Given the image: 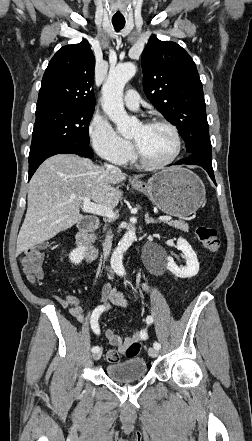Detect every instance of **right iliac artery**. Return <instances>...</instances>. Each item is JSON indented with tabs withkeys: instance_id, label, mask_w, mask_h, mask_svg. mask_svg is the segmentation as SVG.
Masks as SVG:
<instances>
[{
	"instance_id": "82829eb1",
	"label": "right iliac artery",
	"mask_w": 252,
	"mask_h": 441,
	"mask_svg": "<svg viewBox=\"0 0 252 441\" xmlns=\"http://www.w3.org/2000/svg\"><path fill=\"white\" fill-rule=\"evenodd\" d=\"M104 309L105 308L103 306L96 307L92 313L91 320H90L92 330L98 335L100 334L98 319ZM98 351H100V348L98 346H95L92 348V352L96 353Z\"/></svg>"
}]
</instances>
